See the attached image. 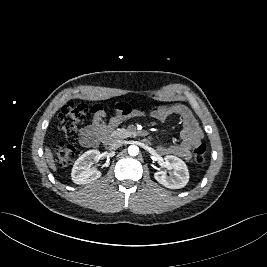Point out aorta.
<instances>
[{"label": "aorta", "instance_id": "1", "mask_svg": "<svg viewBox=\"0 0 267 267\" xmlns=\"http://www.w3.org/2000/svg\"><path fill=\"white\" fill-rule=\"evenodd\" d=\"M128 153L130 156H136L139 153V147L136 145H130L128 147Z\"/></svg>", "mask_w": 267, "mask_h": 267}]
</instances>
